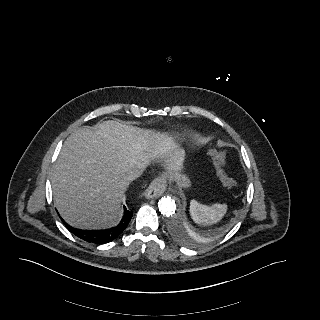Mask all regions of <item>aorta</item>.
Listing matches in <instances>:
<instances>
[{"label": "aorta", "instance_id": "aorta-1", "mask_svg": "<svg viewBox=\"0 0 320 320\" xmlns=\"http://www.w3.org/2000/svg\"><path fill=\"white\" fill-rule=\"evenodd\" d=\"M159 211L165 216H171L175 213L176 202L173 197H162L158 202Z\"/></svg>", "mask_w": 320, "mask_h": 320}]
</instances>
